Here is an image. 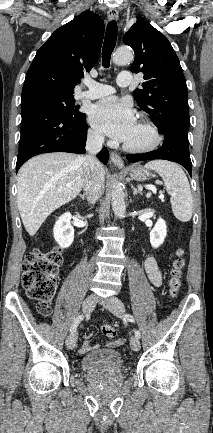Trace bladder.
<instances>
[{
	"label": "bladder",
	"mask_w": 213,
	"mask_h": 433,
	"mask_svg": "<svg viewBox=\"0 0 213 433\" xmlns=\"http://www.w3.org/2000/svg\"><path fill=\"white\" fill-rule=\"evenodd\" d=\"M80 367L88 374L115 372L122 369L123 358L118 350L100 349L84 355Z\"/></svg>",
	"instance_id": "1"
}]
</instances>
